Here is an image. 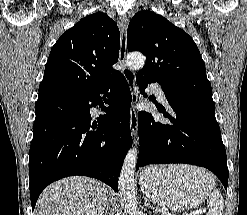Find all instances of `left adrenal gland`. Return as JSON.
<instances>
[{
    "mask_svg": "<svg viewBox=\"0 0 247 215\" xmlns=\"http://www.w3.org/2000/svg\"><path fill=\"white\" fill-rule=\"evenodd\" d=\"M144 205H145L146 207L152 208L150 202H149V201L147 200V198H145V197H144Z\"/></svg>",
    "mask_w": 247,
    "mask_h": 215,
    "instance_id": "left-adrenal-gland-1",
    "label": "left adrenal gland"
}]
</instances>
